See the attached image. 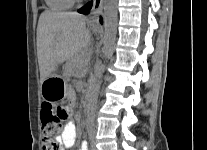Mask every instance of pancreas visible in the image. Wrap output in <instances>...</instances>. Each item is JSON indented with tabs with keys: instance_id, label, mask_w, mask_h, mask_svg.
Wrapping results in <instances>:
<instances>
[{
	"instance_id": "1",
	"label": "pancreas",
	"mask_w": 207,
	"mask_h": 150,
	"mask_svg": "<svg viewBox=\"0 0 207 150\" xmlns=\"http://www.w3.org/2000/svg\"><path fill=\"white\" fill-rule=\"evenodd\" d=\"M89 62V55L86 53H82L80 56L76 57L73 61V68L71 71L64 72V75H67L69 72H79L82 68H84Z\"/></svg>"
}]
</instances>
